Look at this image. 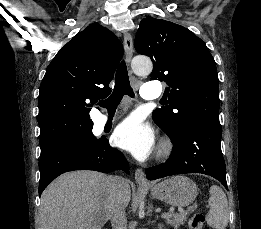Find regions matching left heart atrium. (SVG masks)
Segmentation results:
<instances>
[{
	"label": "left heart atrium",
	"instance_id": "left-heart-atrium-1",
	"mask_svg": "<svg viewBox=\"0 0 261 229\" xmlns=\"http://www.w3.org/2000/svg\"><path fill=\"white\" fill-rule=\"evenodd\" d=\"M116 146L123 148L138 158L147 157L155 148L153 127L138 116H130L122 121L112 136Z\"/></svg>",
	"mask_w": 261,
	"mask_h": 229
}]
</instances>
